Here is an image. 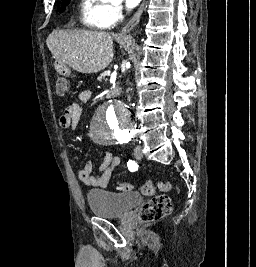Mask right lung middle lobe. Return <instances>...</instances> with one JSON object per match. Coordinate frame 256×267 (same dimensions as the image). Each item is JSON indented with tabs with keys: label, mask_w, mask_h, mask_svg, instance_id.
<instances>
[{
	"label": "right lung middle lobe",
	"mask_w": 256,
	"mask_h": 267,
	"mask_svg": "<svg viewBox=\"0 0 256 267\" xmlns=\"http://www.w3.org/2000/svg\"><path fill=\"white\" fill-rule=\"evenodd\" d=\"M70 0H66L65 2H63V5H62V8L59 10L60 12L61 11H64L65 9V5H67L69 3Z\"/></svg>",
	"instance_id": "obj_1"
}]
</instances>
